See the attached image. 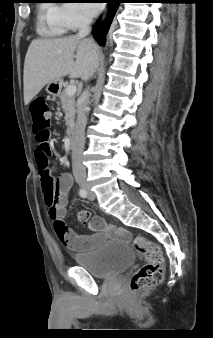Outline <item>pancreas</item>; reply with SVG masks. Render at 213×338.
Returning <instances> with one entry per match:
<instances>
[{"label":"pancreas","mask_w":213,"mask_h":338,"mask_svg":"<svg viewBox=\"0 0 213 338\" xmlns=\"http://www.w3.org/2000/svg\"><path fill=\"white\" fill-rule=\"evenodd\" d=\"M62 109L65 113V121L68 127V132L71 128H73L75 124V114H76V103H75V96H69L66 94V89L58 95Z\"/></svg>","instance_id":"obj_1"}]
</instances>
